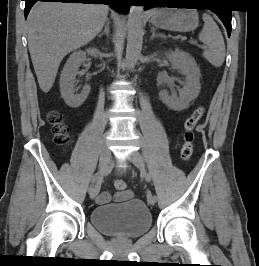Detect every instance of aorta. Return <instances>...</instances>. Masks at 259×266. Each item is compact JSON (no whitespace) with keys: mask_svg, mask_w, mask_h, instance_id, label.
Instances as JSON below:
<instances>
[{"mask_svg":"<svg viewBox=\"0 0 259 266\" xmlns=\"http://www.w3.org/2000/svg\"><path fill=\"white\" fill-rule=\"evenodd\" d=\"M141 6H132L128 15V35L126 47V65L128 69L134 68L142 50L143 25Z\"/></svg>","mask_w":259,"mask_h":266,"instance_id":"obj_1","label":"aorta"}]
</instances>
